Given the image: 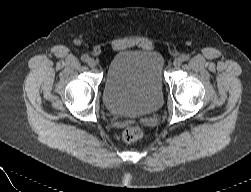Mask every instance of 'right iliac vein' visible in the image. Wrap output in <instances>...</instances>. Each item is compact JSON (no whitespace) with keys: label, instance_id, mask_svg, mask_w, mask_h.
Returning a JSON list of instances; mask_svg holds the SVG:
<instances>
[{"label":"right iliac vein","instance_id":"right-iliac-vein-1","mask_svg":"<svg viewBox=\"0 0 251 192\" xmlns=\"http://www.w3.org/2000/svg\"><path fill=\"white\" fill-rule=\"evenodd\" d=\"M88 65L92 68L96 67L97 66V61L93 58H89L88 61H87Z\"/></svg>","mask_w":251,"mask_h":192}]
</instances>
